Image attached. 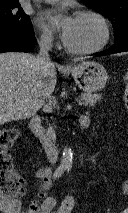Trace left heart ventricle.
Instances as JSON below:
<instances>
[{
    "label": "left heart ventricle",
    "mask_w": 128,
    "mask_h": 213,
    "mask_svg": "<svg viewBox=\"0 0 128 213\" xmlns=\"http://www.w3.org/2000/svg\"><path fill=\"white\" fill-rule=\"evenodd\" d=\"M102 36V27L96 19L92 17H76L67 45L76 49L91 48L101 41Z\"/></svg>",
    "instance_id": "1"
}]
</instances>
